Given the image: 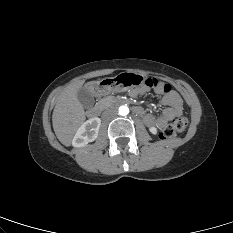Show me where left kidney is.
Here are the masks:
<instances>
[{
    "instance_id": "5707ae66",
    "label": "left kidney",
    "mask_w": 233,
    "mask_h": 233,
    "mask_svg": "<svg viewBox=\"0 0 233 233\" xmlns=\"http://www.w3.org/2000/svg\"><path fill=\"white\" fill-rule=\"evenodd\" d=\"M149 131L152 133V134H156L157 133V129L155 127H150L149 128Z\"/></svg>"
}]
</instances>
